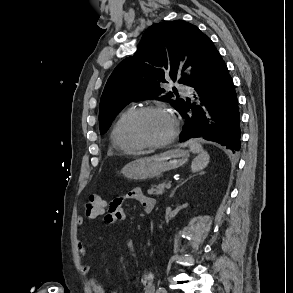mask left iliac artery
Masks as SVG:
<instances>
[{"mask_svg": "<svg viewBox=\"0 0 293 293\" xmlns=\"http://www.w3.org/2000/svg\"><path fill=\"white\" fill-rule=\"evenodd\" d=\"M157 293H167V291L165 290V288L160 287V288L157 290Z\"/></svg>", "mask_w": 293, "mask_h": 293, "instance_id": "obj_1", "label": "left iliac artery"}]
</instances>
